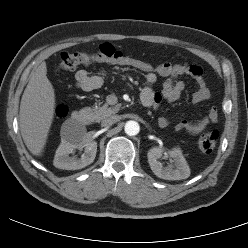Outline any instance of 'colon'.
Returning <instances> with one entry per match:
<instances>
[{
  "instance_id": "5ec220e1",
  "label": "colon",
  "mask_w": 248,
  "mask_h": 248,
  "mask_svg": "<svg viewBox=\"0 0 248 248\" xmlns=\"http://www.w3.org/2000/svg\"><path fill=\"white\" fill-rule=\"evenodd\" d=\"M100 62L131 67L142 73L153 71L156 67L145 60L125 55L109 43H103L94 53L63 52L60 56L59 70L71 72L76 70L79 66ZM66 115L67 108L65 106L60 105L56 108L57 117L62 118ZM218 137L219 133L217 131L202 134L198 139L199 148L205 153H211L216 146Z\"/></svg>"
}]
</instances>
